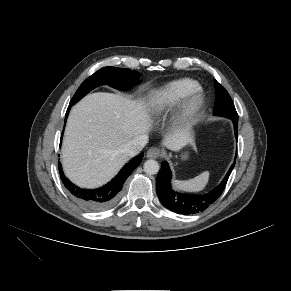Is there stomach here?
I'll list each match as a JSON object with an SVG mask.
<instances>
[{"instance_id":"obj_1","label":"stomach","mask_w":291,"mask_h":291,"mask_svg":"<svg viewBox=\"0 0 291 291\" xmlns=\"http://www.w3.org/2000/svg\"><path fill=\"white\" fill-rule=\"evenodd\" d=\"M188 158V153L185 152L183 155H182V159H187Z\"/></svg>"}]
</instances>
